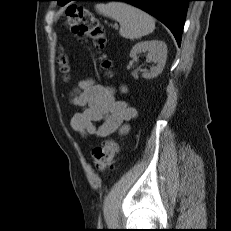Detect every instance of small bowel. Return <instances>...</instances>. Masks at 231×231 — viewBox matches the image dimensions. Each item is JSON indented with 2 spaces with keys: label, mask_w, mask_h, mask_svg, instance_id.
Returning a JSON list of instances; mask_svg holds the SVG:
<instances>
[{
  "label": "small bowel",
  "mask_w": 231,
  "mask_h": 231,
  "mask_svg": "<svg viewBox=\"0 0 231 231\" xmlns=\"http://www.w3.org/2000/svg\"><path fill=\"white\" fill-rule=\"evenodd\" d=\"M126 92V87H121ZM71 102L81 107L74 114L71 127L82 137L105 138L113 133H128L129 122L136 118L137 110L124 101L117 100L114 88L83 80L71 95Z\"/></svg>",
  "instance_id": "1"
}]
</instances>
